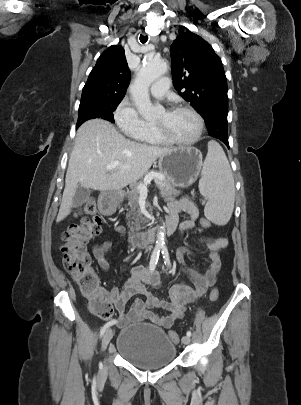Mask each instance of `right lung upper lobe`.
Masks as SVG:
<instances>
[{"mask_svg":"<svg viewBox=\"0 0 301 405\" xmlns=\"http://www.w3.org/2000/svg\"><path fill=\"white\" fill-rule=\"evenodd\" d=\"M130 80V70L124 49L112 45L97 60L83 88L81 98L87 96L124 97Z\"/></svg>","mask_w":301,"mask_h":405,"instance_id":"right-lung-upper-lobe-1","label":"right lung upper lobe"}]
</instances>
